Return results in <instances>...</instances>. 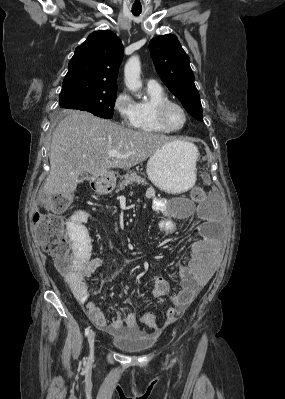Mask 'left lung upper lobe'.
<instances>
[{"label": "left lung upper lobe", "instance_id": "1", "mask_svg": "<svg viewBox=\"0 0 285 399\" xmlns=\"http://www.w3.org/2000/svg\"><path fill=\"white\" fill-rule=\"evenodd\" d=\"M149 49L163 83L195 119L203 121L200 96L189 65L190 59L177 37L172 34L157 36L150 41Z\"/></svg>", "mask_w": 285, "mask_h": 399}]
</instances>
